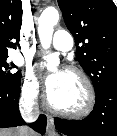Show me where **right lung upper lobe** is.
<instances>
[{
	"instance_id": "1",
	"label": "right lung upper lobe",
	"mask_w": 117,
	"mask_h": 136,
	"mask_svg": "<svg viewBox=\"0 0 117 136\" xmlns=\"http://www.w3.org/2000/svg\"><path fill=\"white\" fill-rule=\"evenodd\" d=\"M22 24L21 0H0V57L8 56L7 49H16ZM17 40L16 43L11 40Z\"/></svg>"
}]
</instances>
